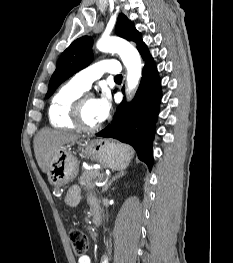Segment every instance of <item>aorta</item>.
Segmentation results:
<instances>
[{"label":"aorta","instance_id":"762f6f07","mask_svg":"<svg viewBox=\"0 0 233 263\" xmlns=\"http://www.w3.org/2000/svg\"><path fill=\"white\" fill-rule=\"evenodd\" d=\"M97 49L102 52L118 53L127 69L128 90H133L141 78V58L135 47L119 37H102L97 42Z\"/></svg>","mask_w":233,"mask_h":263}]
</instances>
